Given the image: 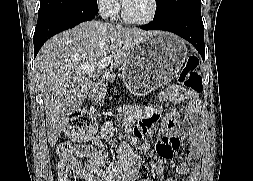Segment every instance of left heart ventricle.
<instances>
[{
	"instance_id": "obj_1",
	"label": "left heart ventricle",
	"mask_w": 253,
	"mask_h": 181,
	"mask_svg": "<svg viewBox=\"0 0 253 181\" xmlns=\"http://www.w3.org/2000/svg\"><path fill=\"white\" fill-rule=\"evenodd\" d=\"M123 5L133 18H144L151 11V0H126Z\"/></svg>"
}]
</instances>
